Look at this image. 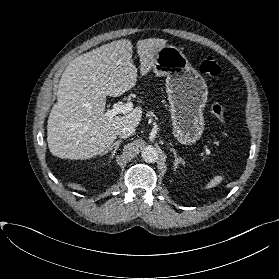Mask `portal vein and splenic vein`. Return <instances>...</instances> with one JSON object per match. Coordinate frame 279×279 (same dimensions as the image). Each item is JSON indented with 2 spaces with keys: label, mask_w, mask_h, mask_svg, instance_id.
Instances as JSON below:
<instances>
[{
  "label": "portal vein and splenic vein",
  "mask_w": 279,
  "mask_h": 279,
  "mask_svg": "<svg viewBox=\"0 0 279 279\" xmlns=\"http://www.w3.org/2000/svg\"><path fill=\"white\" fill-rule=\"evenodd\" d=\"M133 107L134 105L132 102H127L125 104L114 103L113 108L111 110H108L105 115L113 117L118 114L130 113L133 110Z\"/></svg>",
  "instance_id": "portal-vein-and-splenic-vein-1"
}]
</instances>
